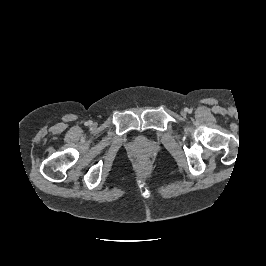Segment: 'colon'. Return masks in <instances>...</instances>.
<instances>
[{
	"label": "colon",
	"mask_w": 266,
	"mask_h": 266,
	"mask_svg": "<svg viewBox=\"0 0 266 266\" xmlns=\"http://www.w3.org/2000/svg\"><path fill=\"white\" fill-rule=\"evenodd\" d=\"M147 161L145 159H142L139 161L138 165L140 168H146L147 167Z\"/></svg>",
	"instance_id": "1"
}]
</instances>
